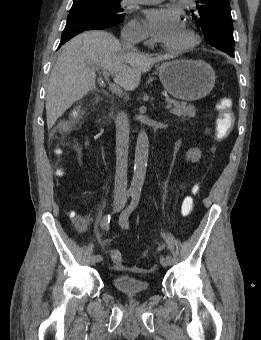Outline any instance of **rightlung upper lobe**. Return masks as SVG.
Masks as SVG:
<instances>
[{"label":"right lung upper lobe","instance_id":"1","mask_svg":"<svg viewBox=\"0 0 261 340\" xmlns=\"http://www.w3.org/2000/svg\"><path fill=\"white\" fill-rule=\"evenodd\" d=\"M80 1H90V0H74V2H80Z\"/></svg>","mask_w":261,"mask_h":340}]
</instances>
